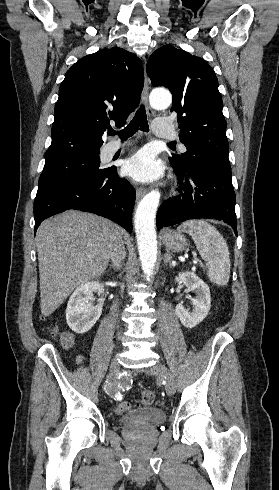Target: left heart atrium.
<instances>
[{
    "label": "left heart atrium",
    "instance_id": "39dd6f15",
    "mask_svg": "<svg viewBox=\"0 0 279 490\" xmlns=\"http://www.w3.org/2000/svg\"><path fill=\"white\" fill-rule=\"evenodd\" d=\"M123 170L130 179L143 184L157 182L164 174L162 162L146 149L128 158L123 164Z\"/></svg>",
    "mask_w": 279,
    "mask_h": 490
}]
</instances>
